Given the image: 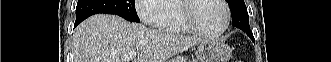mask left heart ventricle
Wrapping results in <instances>:
<instances>
[{"label": "left heart ventricle", "instance_id": "obj_1", "mask_svg": "<svg viewBox=\"0 0 331 62\" xmlns=\"http://www.w3.org/2000/svg\"><path fill=\"white\" fill-rule=\"evenodd\" d=\"M198 25L209 32H216L224 25V9L216 0H198L192 9Z\"/></svg>", "mask_w": 331, "mask_h": 62}]
</instances>
